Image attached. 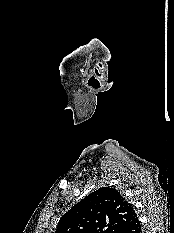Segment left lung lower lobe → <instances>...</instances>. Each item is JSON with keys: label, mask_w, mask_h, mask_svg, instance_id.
Here are the masks:
<instances>
[{"label": "left lung lower lobe", "mask_w": 174, "mask_h": 233, "mask_svg": "<svg viewBox=\"0 0 174 233\" xmlns=\"http://www.w3.org/2000/svg\"><path fill=\"white\" fill-rule=\"evenodd\" d=\"M120 233H142L138 217L135 216L128 224H126L121 229Z\"/></svg>", "instance_id": "left-lung-lower-lobe-1"}]
</instances>
